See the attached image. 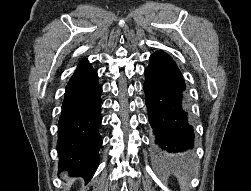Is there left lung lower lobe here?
<instances>
[{
  "instance_id": "1",
  "label": "left lung lower lobe",
  "mask_w": 251,
  "mask_h": 191,
  "mask_svg": "<svg viewBox=\"0 0 251 191\" xmlns=\"http://www.w3.org/2000/svg\"><path fill=\"white\" fill-rule=\"evenodd\" d=\"M145 102L154 136V151L162 157H182L194 148L186 85L175 61L156 51L145 69Z\"/></svg>"
}]
</instances>
